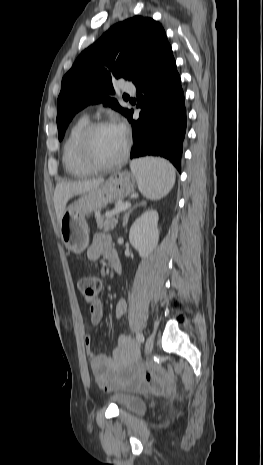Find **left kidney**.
I'll return each mask as SVG.
<instances>
[{"label": "left kidney", "instance_id": "1", "mask_svg": "<svg viewBox=\"0 0 263 465\" xmlns=\"http://www.w3.org/2000/svg\"><path fill=\"white\" fill-rule=\"evenodd\" d=\"M158 213L148 210L135 220L130 228L129 241L141 257L147 256L159 240Z\"/></svg>", "mask_w": 263, "mask_h": 465}]
</instances>
